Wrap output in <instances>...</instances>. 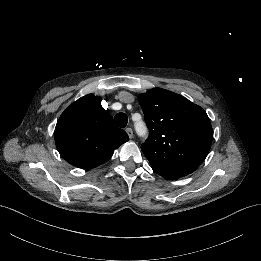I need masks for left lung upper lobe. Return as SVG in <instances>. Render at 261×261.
I'll return each instance as SVG.
<instances>
[{
	"mask_svg": "<svg viewBox=\"0 0 261 261\" xmlns=\"http://www.w3.org/2000/svg\"><path fill=\"white\" fill-rule=\"evenodd\" d=\"M138 99L149 128L141 149L153 171L168 180L195 171L206 158L213 138L206 112L162 88L140 94Z\"/></svg>",
	"mask_w": 261,
	"mask_h": 261,
	"instance_id": "obj_1",
	"label": "left lung upper lobe"
}]
</instances>
